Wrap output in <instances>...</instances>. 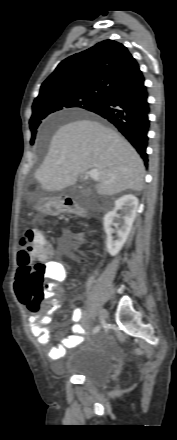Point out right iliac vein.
<instances>
[{"mask_svg": "<svg viewBox=\"0 0 177 440\" xmlns=\"http://www.w3.org/2000/svg\"><path fill=\"white\" fill-rule=\"evenodd\" d=\"M107 317H108L107 310L106 309H101V311H100V322H101V324L105 323Z\"/></svg>", "mask_w": 177, "mask_h": 440, "instance_id": "obj_1", "label": "right iliac vein"}]
</instances>
